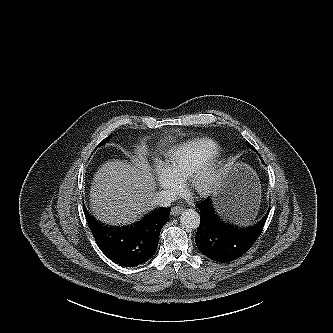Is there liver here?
I'll use <instances>...</instances> for the list:
<instances>
[{
    "mask_svg": "<svg viewBox=\"0 0 333 333\" xmlns=\"http://www.w3.org/2000/svg\"><path fill=\"white\" fill-rule=\"evenodd\" d=\"M155 177L150 164L139 155L132 164L111 160L96 172L90 189L91 208L97 219L121 225L133 222L153 207Z\"/></svg>",
    "mask_w": 333,
    "mask_h": 333,
    "instance_id": "1",
    "label": "liver"
}]
</instances>
